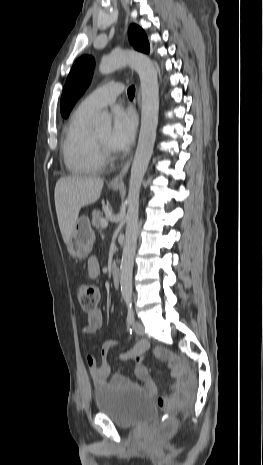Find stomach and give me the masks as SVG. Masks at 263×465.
I'll use <instances>...</instances> for the list:
<instances>
[{"label": "stomach", "instance_id": "1", "mask_svg": "<svg viewBox=\"0 0 263 465\" xmlns=\"http://www.w3.org/2000/svg\"><path fill=\"white\" fill-rule=\"evenodd\" d=\"M113 190H118L119 186H112ZM95 241V234L91 228L90 220L87 216L78 218L72 229L67 250L74 258H85L92 250Z\"/></svg>", "mask_w": 263, "mask_h": 465}]
</instances>
